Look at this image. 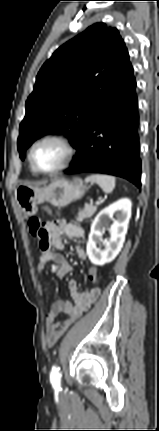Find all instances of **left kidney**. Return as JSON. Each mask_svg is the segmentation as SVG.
<instances>
[{"mask_svg":"<svg viewBox=\"0 0 159 431\" xmlns=\"http://www.w3.org/2000/svg\"><path fill=\"white\" fill-rule=\"evenodd\" d=\"M130 217L131 201L127 198L118 200L98 213L92 222L86 248L92 264L103 266L116 258L123 247ZM106 229L110 233L109 241L102 239Z\"/></svg>","mask_w":159,"mask_h":431,"instance_id":"left-kidney-1","label":"left kidney"}]
</instances>
